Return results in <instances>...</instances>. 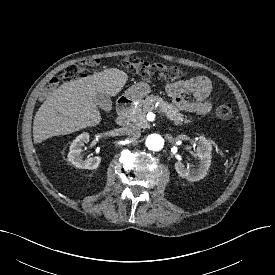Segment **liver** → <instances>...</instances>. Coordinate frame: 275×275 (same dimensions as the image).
Listing matches in <instances>:
<instances>
[{
    "label": "liver",
    "instance_id": "liver-1",
    "mask_svg": "<svg viewBox=\"0 0 275 275\" xmlns=\"http://www.w3.org/2000/svg\"><path fill=\"white\" fill-rule=\"evenodd\" d=\"M128 75L117 68L106 69L79 80L59 86L43 102L35 114L33 139L35 143L67 135L101 122L95 96L105 93L116 96L125 86Z\"/></svg>",
    "mask_w": 275,
    "mask_h": 275
}]
</instances>
